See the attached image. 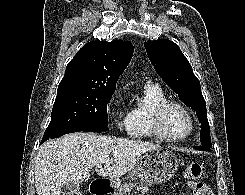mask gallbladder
Segmentation results:
<instances>
[{
	"mask_svg": "<svg viewBox=\"0 0 245 195\" xmlns=\"http://www.w3.org/2000/svg\"><path fill=\"white\" fill-rule=\"evenodd\" d=\"M80 190V185L75 182L65 183L61 186L62 195H74Z\"/></svg>",
	"mask_w": 245,
	"mask_h": 195,
	"instance_id": "bac80fb5",
	"label": "gallbladder"
}]
</instances>
